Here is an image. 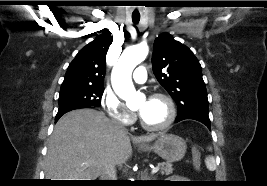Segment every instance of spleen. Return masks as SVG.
<instances>
[{
  "mask_svg": "<svg viewBox=\"0 0 267 186\" xmlns=\"http://www.w3.org/2000/svg\"><path fill=\"white\" fill-rule=\"evenodd\" d=\"M205 162L209 170H214L216 168L215 161L212 156L207 157Z\"/></svg>",
  "mask_w": 267,
  "mask_h": 186,
  "instance_id": "obj_1",
  "label": "spleen"
}]
</instances>
